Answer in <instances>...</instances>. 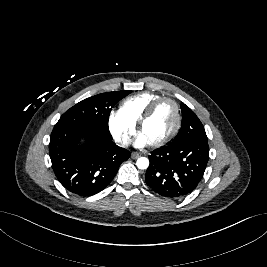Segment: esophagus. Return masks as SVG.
<instances>
[{
    "label": "esophagus",
    "mask_w": 267,
    "mask_h": 267,
    "mask_svg": "<svg viewBox=\"0 0 267 267\" xmlns=\"http://www.w3.org/2000/svg\"><path fill=\"white\" fill-rule=\"evenodd\" d=\"M139 156H140V155H139V153H137V152H132V153H131V158H132V159H137Z\"/></svg>",
    "instance_id": "1"
}]
</instances>
